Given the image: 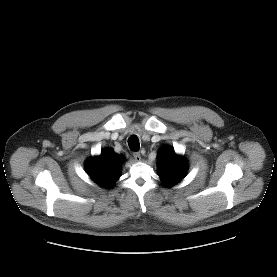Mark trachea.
I'll use <instances>...</instances> for the list:
<instances>
[{"label": "trachea", "mask_w": 277, "mask_h": 277, "mask_svg": "<svg viewBox=\"0 0 277 277\" xmlns=\"http://www.w3.org/2000/svg\"><path fill=\"white\" fill-rule=\"evenodd\" d=\"M128 145L131 150L138 151L140 147L138 138L136 136H131L128 139Z\"/></svg>", "instance_id": "3493384b"}]
</instances>
